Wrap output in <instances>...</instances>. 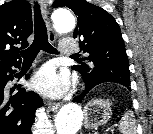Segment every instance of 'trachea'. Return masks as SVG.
I'll return each mask as SVG.
<instances>
[{
	"mask_svg": "<svg viewBox=\"0 0 153 134\" xmlns=\"http://www.w3.org/2000/svg\"><path fill=\"white\" fill-rule=\"evenodd\" d=\"M34 40L33 43L25 50L21 51L24 61H32L35 59L40 50L50 54H57L58 51L48 42L47 29L41 15L38 3L34 5ZM76 56V54L72 55Z\"/></svg>",
	"mask_w": 153,
	"mask_h": 134,
	"instance_id": "obj_1",
	"label": "trachea"
}]
</instances>
